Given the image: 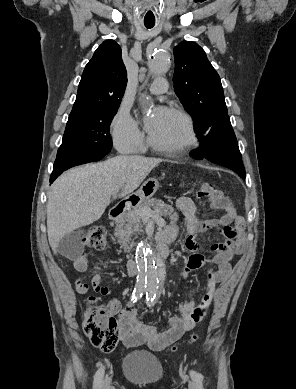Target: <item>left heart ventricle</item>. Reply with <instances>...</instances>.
Segmentation results:
<instances>
[{"mask_svg": "<svg viewBox=\"0 0 296 389\" xmlns=\"http://www.w3.org/2000/svg\"><path fill=\"white\" fill-rule=\"evenodd\" d=\"M150 135L157 143L163 145L178 144L186 137L185 125L179 116L167 111L158 127Z\"/></svg>", "mask_w": 296, "mask_h": 389, "instance_id": "1", "label": "left heart ventricle"}]
</instances>
